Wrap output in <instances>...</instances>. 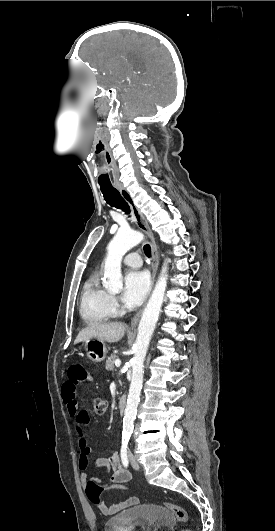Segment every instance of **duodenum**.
<instances>
[{
    "label": "duodenum",
    "instance_id": "duodenum-1",
    "mask_svg": "<svg viewBox=\"0 0 275 531\" xmlns=\"http://www.w3.org/2000/svg\"><path fill=\"white\" fill-rule=\"evenodd\" d=\"M127 398L122 396L117 403V409L119 413H123L126 408Z\"/></svg>",
    "mask_w": 275,
    "mask_h": 531
}]
</instances>
